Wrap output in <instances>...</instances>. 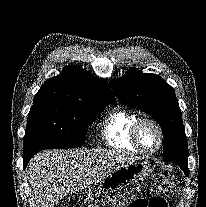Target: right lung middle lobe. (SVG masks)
<instances>
[{"mask_svg": "<svg viewBox=\"0 0 206 207\" xmlns=\"http://www.w3.org/2000/svg\"><path fill=\"white\" fill-rule=\"evenodd\" d=\"M106 105L84 106L60 102L33 103L24 136V153L47 148H75L84 143L95 117Z\"/></svg>", "mask_w": 206, "mask_h": 207, "instance_id": "right-lung-middle-lobe-1", "label": "right lung middle lobe"}]
</instances>
